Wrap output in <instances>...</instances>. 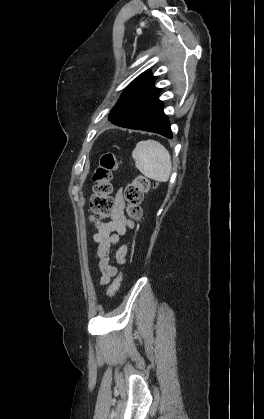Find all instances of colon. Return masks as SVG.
Here are the masks:
<instances>
[{
  "label": "colon",
  "instance_id": "1",
  "mask_svg": "<svg viewBox=\"0 0 264 419\" xmlns=\"http://www.w3.org/2000/svg\"><path fill=\"white\" fill-rule=\"evenodd\" d=\"M118 167V161L114 154L104 153L99 161V165L93 176V195L90 202L91 211L95 217L105 218L109 216L115 206L112 198L113 192V173ZM151 182L145 176H137L129 183L124 191L127 202V214L134 220L141 217V202L144 193L150 190ZM122 275L119 274L108 288V296L112 297L119 289Z\"/></svg>",
  "mask_w": 264,
  "mask_h": 419
}]
</instances>
